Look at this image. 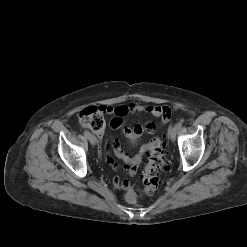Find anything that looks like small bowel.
I'll use <instances>...</instances> for the list:
<instances>
[{"label": "small bowel", "instance_id": "1", "mask_svg": "<svg viewBox=\"0 0 247 247\" xmlns=\"http://www.w3.org/2000/svg\"><path fill=\"white\" fill-rule=\"evenodd\" d=\"M105 113L112 115L110 125L112 128L117 129L123 127V132L125 136L129 139H135L140 137L144 132L154 133L158 125L153 122L146 124H138L134 127L124 126V118L129 113H148L153 117L160 119L162 124H165L169 121L171 116V109L168 106L162 105H142L136 102H132L128 105H121L116 107H104ZM157 140L154 139L152 143ZM151 143V144H152ZM151 144L145 145L140 149L138 154H131L130 152L124 151L119 144V141L116 138H111L104 146V155L107 163L114 169H118V165L114 162L111 157V151L120 159H122L126 164L124 169L128 172L129 175H134L137 171V165L140 163L142 154L146 152ZM113 185L122 190H129L130 183L126 179L119 177L113 178Z\"/></svg>", "mask_w": 247, "mask_h": 247}]
</instances>
